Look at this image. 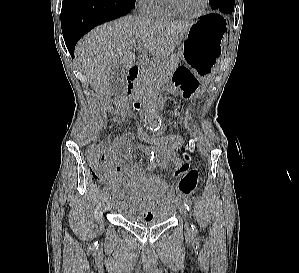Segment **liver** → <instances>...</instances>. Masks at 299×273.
<instances>
[{
	"label": "liver",
	"instance_id": "6515ba94",
	"mask_svg": "<svg viewBox=\"0 0 299 273\" xmlns=\"http://www.w3.org/2000/svg\"><path fill=\"white\" fill-rule=\"evenodd\" d=\"M192 21H155L126 16L93 29L75 48V57L87 80L103 102L113 96L109 80L117 63L126 70L134 66L135 48L159 59L168 58L184 40Z\"/></svg>",
	"mask_w": 299,
	"mask_h": 273
}]
</instances>
